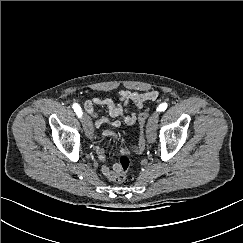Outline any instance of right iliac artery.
<instances>
[{
	"instance_id": "1",
	"label": "right iliac artery",
	"mask_w": 243,
	"mask_h": 243,
	"mask_svg": "<svg viewBox=\"0 0 243 243\" xmlns=\"http://www.w3.org/2000/svg\"><path fill=\"white\" fill-rule=\"evenodd\" d=\"M73 109L75 113L78 115V117L82 116V110L78 104H73Z\"/></svg>"
}]
</instances>
